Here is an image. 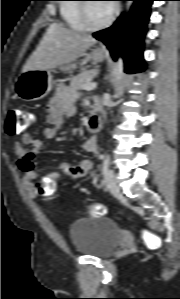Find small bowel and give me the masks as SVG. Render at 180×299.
<instances>
[{"label": "small bowel", "mask_w": 180, "mask_h": 299, "mask_svg": "<svg viewBox=\"0 0 180 299\" xmlns=\"http://www.w3.org/2000/svg\"><path fill=\"white\" fill-rule=\"evenodd\" d=\"M77 93L70 87L59 84L56 87L54 96L46 107L47 126L43 135L47 139L55 138L61 131L63 121L74 116ZM87 153L95 154L98 150L95 137H88L81 145ZM43 143L34 139L30 134H24L15 150L18 156V166L23 174V185L29 196H35L38 192L37 183H56L62 180L78 179L86 176L92 168L88 159H80L73 164L59 163L58 170L48 174H41L36 171V163L41 154Z\"/></svg>", "instance_id": "1"}]
</instances>
